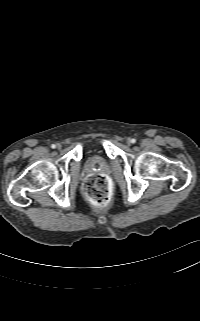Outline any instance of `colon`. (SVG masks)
Wrapping results in <instances>:
<instances>
[{
	"label": "colon",
	"mask_w": 200,
	"mask_h": 321,
	"mask_svg": "<svg viewBox=\"0 0 200 321\" xmlns=\"http://www.w3.org/2000/svg\"><path fill=\"white\" fill-rule=\"evenodd\" d=\"M83 191L87 200L95 206H106L110 201V184L105 175L88 176L83 183Z\"/></svg>",
	"instance_id": "colon-1"
}]
</instances>
